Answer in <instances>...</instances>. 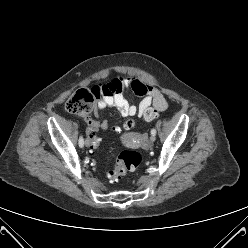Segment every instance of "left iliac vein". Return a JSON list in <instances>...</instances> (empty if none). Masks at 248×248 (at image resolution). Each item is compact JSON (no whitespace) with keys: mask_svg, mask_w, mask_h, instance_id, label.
Segmentation results:
<instances>
[{"mask_svg":"<svg viewBox=\"0 0 248 248\" xmlns=\"http://www.w3.org/2000/svg\"><path fill=\"white\" fill-rule=\"evenodd\" d=\"M154 141H155V136L152 135V136L150 137V142H151V144H152Z\"/></svg>","mask_w":248,"mask_h":248,"instance_id":"left-iliac-vein-1","label":"left iliac vein"}]
</instances>
